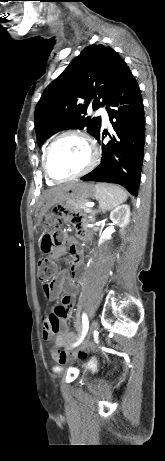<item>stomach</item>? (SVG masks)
<instances>
[{"label":"stomach","instance_id":"1","mask_svg":"<svg viewBox=\"0 0 165 461\" xmlns=\"http://www.w3.org/2000/svg\"><path fill=\"white\" fill-rule=\"evenodd\" d=\"M94 196H96V185L93 183L75 181L61 186L45 197L37 214L38 221L41 223L49 209L56 204L63 203L69 199L86 200Z\"/></svg>","mask_w":165,"mask_h":461}]
</instances>
